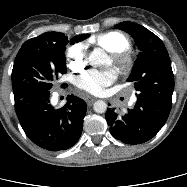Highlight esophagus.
I'll return each instance as SVG.
<instances>
[{
  "label": "esophagus",
  "instance_id": "esophagus-1",
  "mask_svg": "<svg viewBox=\"0 0 187 187\" xmlns=\"http://www.w3.org/2000/svg\"><path fill=\"white\" fill-rule=\"evenodd\" d=\"M95 100H96V98H94V97H86L85 98V101L88 105H92Z\"/></svg>",
  "mask_w": 187,
  "mask_h": 187
}]
</instances>
